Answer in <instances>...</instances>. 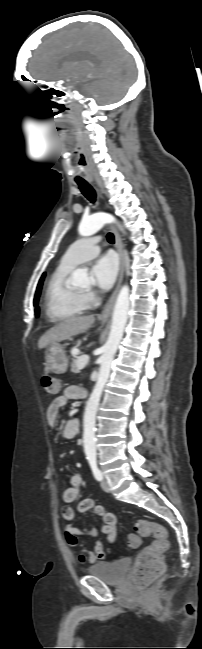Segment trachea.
Segmentation results:
<instances>
[{
	"label": "trachea",
	"mask_w": 202,
	"mask_h": 649,
	"mask_svg": "<svg viewBox=\"0 0 202 649\" xmlns=\"http://www.w3.org/2000/svg\"><path fill=\"white\" fill-rule=\"evenodd\" d=\"M78 186H79V189L82 192V194L91 203H95V201H96V193H95L94 189L87 182L78 183ZM107 241L110 244H114V235L112 233L107 234Z\"/></svg>",
	"instance_id": "1"
}]
</instances>
